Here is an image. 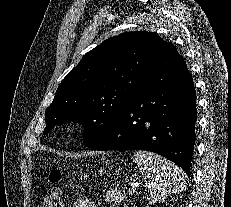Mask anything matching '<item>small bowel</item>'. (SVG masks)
<instances>
[{
    "label": "small bowel",
    "mask_w": 231,
    "mask_h": 207,
    "mask_svg": "<svg viewBox=\"0 0 231 207\" xmlns=\"http://www.w3.org/2000/svg\"><path fill=\"white\" fill-rule=\"evenodd\" d=\"M70 207H96L95 203L90 199L78 198Z\"/></svg>",
    "instance_id": "obj_1"
}]
</instances>
